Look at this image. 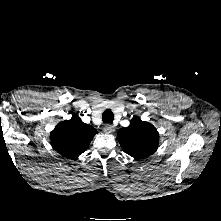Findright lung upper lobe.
<instances>
[{
	"mask_svg": "<svg viewBox=\"0 0 221 221\" xmlns=\"http://www.w3.org/2000/svg\"><path fill=\"white\" fill-rule=\"evenodd\" d=\"M95 128L82 122L78 115L70 120L60 122L51 132V143L54 149L67 158H77L89 146Z\"/></svg>",
	"mask_w": 221,
	"mask_h": 221,
	"instance_id": "1",
	"label": "right lung upper lobe"
}]
</instances>
